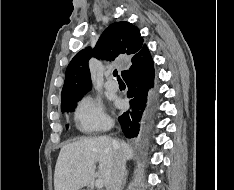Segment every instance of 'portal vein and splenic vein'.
<instances>
[{
	"mask_svg": "<svg viewBox=\"0 0 234 190\" xmlns=\"http://www.w3.org/2000/svg\"><path fill=\"white\" fill-rule=\"evenodd\" d=\"M95 186L99 189L102 188L103 187V180L101 178L97 179L95 182Z\"/></svg>",
	"mask_w": 234,
	"mask_h": 190,
	"instance_id": "18ae733b",
	"label": "portal vein and splenic vein"
}]
</instances>
